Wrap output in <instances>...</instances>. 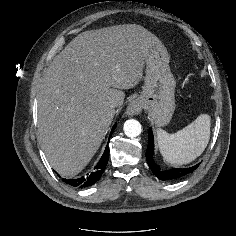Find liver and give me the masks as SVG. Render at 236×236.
Segmentation results:
<instances>
[{
  "instance_id": "liver-1",
  "label": "liver",
  "mask_w": 236,
  "mask_h": 236,
  "mask_svg": "<svg viewBox=\"0 0 236 236\" xmlns=\"http://www.w3.org/2000/svg\"><path fill=\"white\" fill-rule=\"evenodd\" d=\"M162 42L145 28L119 25L86 31L56 55L38 94L39 141L51 167L73 177L100 147L123 89L142 79L145 59Z\"/></svg>"
}]
</instances>
